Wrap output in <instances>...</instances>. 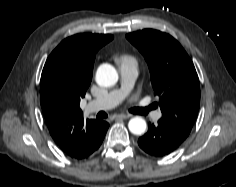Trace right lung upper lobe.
I'll use <instances>...</instances> for the list:
<instances>
[{"label": "right lung upper lobe", "instance_id": "1", "mask_svg": "<svg viewBox=\"0 0 236 187\" xmlns=\"http://www.w3.org/2000/svg\"><path fill=\"white\" fill-rule=\"evenodd\" d=\"M113 39L109 34H76L48 57L40 80V103L49 132L70 157L84 159L101 121H84L80 100L92 80L96 52Z\"/></svg>", "mask_w": 236, "mask_h": 187}]
</instances>
